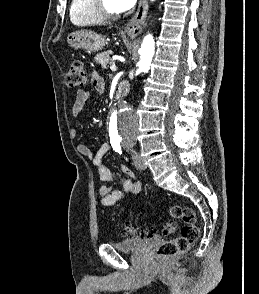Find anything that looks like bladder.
Wrapping results in <instances>:
<instances>
[{"label": "bladder", "instance_id": "obj_1", "mask_svg": "<svg viewBox=\"0 0 259 294\" xmlns=\"http://www.w3.org/2000/svg\"><path fill=\"white\" fill-rule=\"evenodd\" d=\"M159 240L158 236L152 237H131L121 241L111 242L116 250L121 252H139L146 246Z\"/></svg>", "mask_w": 259, "mask_h": 294}]
</instances>
